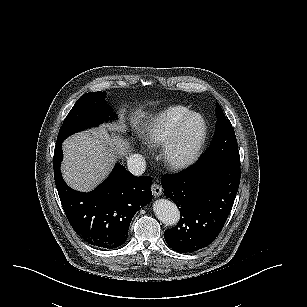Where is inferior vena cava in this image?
I'll return each mask as SVG.
<instances>
[{
    "mask_svg": "<svg viewBox=\"0 0 307 307\" xmlns=\"http://www.w3.org/2000/svg\"><path fill=\"white\" fill-rule=\"evenodd\" d=\"M127 167L130 173L141 176L146 170V161L141 154H131L127 158Z\"/></svg>",
    "mask_w": 307,
    "mask_h": 307,
    "instance_id": "602c4592",
    "label": "inferior vena cava"
}]
</instances>
